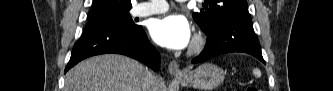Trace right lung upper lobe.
I'll use <instances>...</instances> for the list:
<instances>
[{
	"label": "right lung upper lobe",
	"instance_id": "obj_1",
	"mask_svg": "<svg viewBox=\"0 0 333 91\" xmlns=\"http://www.w3.org/2000/svg\"><path fill=\"white\" fill-rule=\"evenodd\" d=\"M131 7L130 0H94L89 19L120 14Z\"/></svg>",
	"mask_w": 333,
	"mask_h": 91
}]
</instances>
